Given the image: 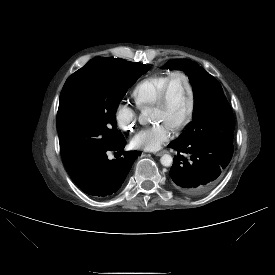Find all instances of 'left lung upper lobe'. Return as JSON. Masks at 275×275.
Returning a JSON list of instances; mask_svg holds the SVG:
<instances>
[{
    "instance_id": "left-lung-upper-lobe-1",
    "label": "left lung upper lobe",
    "mask_w": 275,
    "mask_h": 275,
    "mask_svg": "<svg viewBox=\"0 0 275 275\" xmlns=\"http://www.w3.org/2000/svg\"><path fill=\"white\" fill-rule=\"evenodd\" d=\"M164 68L187 73L194 93L193 121L174 141L213 139L233 143L235 120L220 83L189 59L169 60Z\"/></svg>"
}]
</instances>
